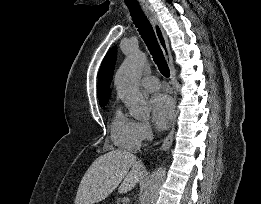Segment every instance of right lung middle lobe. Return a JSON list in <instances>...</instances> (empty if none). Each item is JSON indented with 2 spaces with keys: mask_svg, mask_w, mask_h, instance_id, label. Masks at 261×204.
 Returning a JSON list of instances; mask_svg holds the SVG:
<instances>
[{
  "mask_svg": "<svg viewBox=\"0 0 261 204\" xmlns=\"http://www.w3.org/2000/svg\"><path fill=\"white\" fill-rule=\"evenodd\" d=\"M107 104V102H101L100 106H105Z\"/></svg>",
  "mask_w": 261,
  "mask_h": 204,
  "instance_id": "right-lung-middle-lobe-1",
  "label": "right lung middle lobe"
}]
</instances>
